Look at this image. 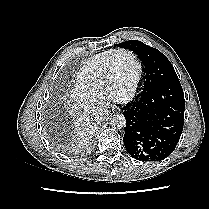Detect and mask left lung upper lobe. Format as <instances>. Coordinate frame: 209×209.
<instances>
[{
	"label": "left lung upper lobe",
	"instance_id": "left-lung-upper-lobe-1",
	"mask_svg": "<svg viewBox=\"0 0 209 209\" xmlns=\"http://www.w3.org/2000/svg\"><path fill=\"white\" fill-rule=\"evenodd\" d=\"M117 45L137 53L141 58L146 72L143 92L155 88L167 80L178 79L172 64L159 50L138 40H129Z\"/></svg>",
	"mask_w": 209,
	"mask_h": 209
}]
</instances>
